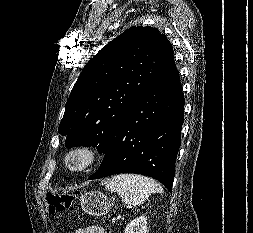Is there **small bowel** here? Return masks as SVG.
Wrapping results in <instances>:
<instances>
[{
  "instance_id": "obj_1",
  "label": "small bowel",
  "mask_w": 253,
  "mask_h": 233,
  "mask_svg": "<svg viewBox=\"0 0 253 233\" xmlns=\"http://www.w3.org/2000/svg\"><path fill=\"white\" fill-rule=\"evenodd\" d=\"M75 233H106V232L101 227L91 226V227L77 230Z\"/></svg>"
}]
</instances>
